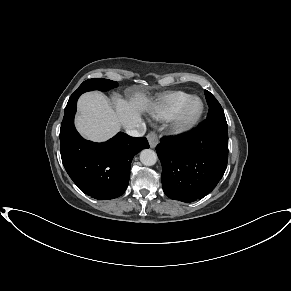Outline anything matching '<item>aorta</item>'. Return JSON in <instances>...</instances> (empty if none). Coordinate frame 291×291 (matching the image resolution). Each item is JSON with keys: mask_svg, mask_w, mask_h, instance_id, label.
Returning <instances> with one entry per match:
<instances>
[{"mask_svg": "<svg viewBox=\"0 0 291 291\" xmlns=\"http://www.w3.org/2000/svg\"><path fill=\"white\" fill-rule=\"evenodd\" d=\"M157 154L151 149H144L140 153V161L146 166H152L157 162Z\"/></svg>", "mask_w": 291, "mask_h": 291, "instance_id": "1", "label": "aorta"}]
</instances>
